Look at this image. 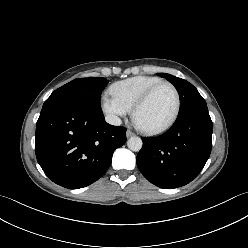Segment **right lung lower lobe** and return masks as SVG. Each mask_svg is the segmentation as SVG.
Segmentation results:
<instances>
[{"mask_svg": "<svg viewBox=\"0 0 248 248\" xmlns=\"http://www.w3.org/2000/svg\"><path fill=\"white\" fill-rule=\"evenodd\" d=\"M125 142L126 128L112 126L102 112L78 104L45 106L36 124L38 163L50 180L69 189L97 181Z\"/></svg>", "mask_w": 248, "mask_h": 248, "instance_id": "right-lung-lower-lobe-1", "label": "right lung lower lobe"}]
</instances>
